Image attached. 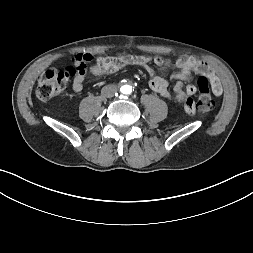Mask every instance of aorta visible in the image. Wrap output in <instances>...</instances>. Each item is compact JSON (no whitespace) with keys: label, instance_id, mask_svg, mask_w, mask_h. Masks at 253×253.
<instances>
[{"label":"aorta","instance_id":"1","mask_svg":"<svg viewBox=\"0 0 253 253\" xmlns=\"http://www.w3.org/2000/svg\"><path fill=\"white\" fill-rule=\"evenodd\" d=\"M121 92L124 94H130L132 91V87L129 85H124L120 88Z\"/></svg>","mask_w":253,"mask_h":253}]
</instances>
